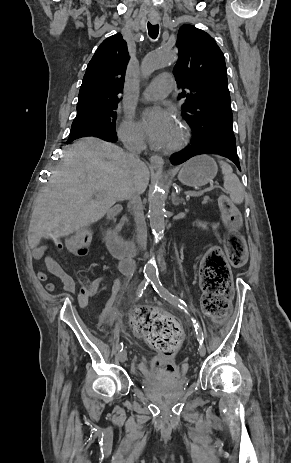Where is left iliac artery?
Instances as JSON below:
<instances>
[{
	"label": "left iliac artery",
	"mask_w": 291,
	"mask_h": 463,
	"mask_svg": "<svg viewBox=\"0 0 291 463\" xmlns=\"http://www.w3.org/2000/svg\"><path fill=\"white\" fill-rule=\"evenodd\" d=\"M151 284L154 288V290L160 295V297L164 298L165 300H167L168 302L174 304L175 306H178L179 308L183 309L185 312H187L186 310V303L184 300H182L181 298L173 295L172 293H170L163 285L162 283L160 282L158 276H154L151 278ZM192 321L194 323V327H195V331H196V334H197V340L199 341L200 344L203 343L204 341V336H203V332L198 324V322H196V320H194L192 318Z\"/></svg>",
	"instance_id": "obj_1"
}]
</instances>
